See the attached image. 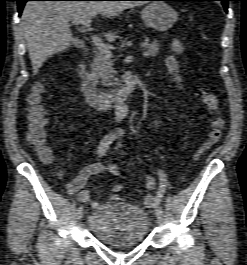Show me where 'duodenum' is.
I'll list each match as a JSON object with an SVG mask.
<instances>
[{
	"label": "duodenum",
	"instance_id": "duodenum-1",
	"mask_svg": "<svg viewBox=\"0 0 247 265\" xmlns=\"http://www.w3.org/2000/svg\"><path fill=\"white\" fill-rule=\"evenodd\" d=\"M77 72L86 97L102 109H108L112 105H121L136 87L134 74L131 71H125L121 75L119 87L105 92L97 89L89 73L86 53H83L78 60Z\"/></svg>",
	"mask_w": 247,
	"mask_h": 265
}]
</instances>
